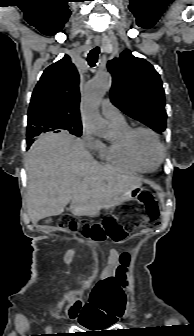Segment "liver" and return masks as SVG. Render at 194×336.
Instances as JSON below:
<instances>
[{"label":"liver","instance_id":"1","mask_svg":"<svg viewBox=\"0 0 194 336\" xmlns=\"http://www.w3.org/2000/svg\"><path fill=\"white\" fill-rule=\"evenodd\" d=\"M25 167L33 224L60 215L69 203L74 216L108 209L142 184L132 172L98 163L81 140L66 133L38 138L27 153Z\"/></svg>","mask_w":194,"mask_h":336}]
</instances>
